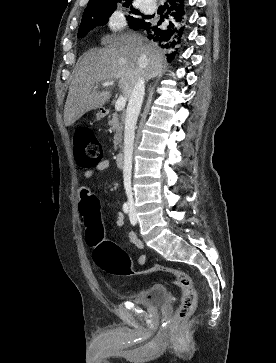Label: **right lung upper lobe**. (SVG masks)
I'll return each instance as SVG.
<instances>
[{"label":"right lung upper lobe","mask_w":276,"mask_h":363,"mask_svg":"<svg viewBox=\"0 0 276 363\" xmlns=\"http://www.w3.org/2000/svg\"><path fill=\"white\" fill-rule=\"evenodd\" d=\"M115 1H122V0H90L87 7L92 6V5L101 4V3H109V2H115ZM125 1L132 3L134 0H125ZM145 19H146V17H145ZM145 19H144V22H146Z\"/></svg>","instance_id":"cb5924a9"}]
</instances>
